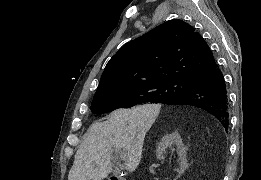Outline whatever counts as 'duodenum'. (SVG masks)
<instances>
[{
    "label": "duodenum",
    "instance_id": "410a0bca",
    "mask_svg": "<svg viewBox=\"0 0 261 180\" xmlns=\"http://www.w3.org/2000/svg\"><path fill=\"white\" fill-rule=\"evenodd\" d=\"M109 180H126L125 177H110Z\"/></svg>",
    "mask_w": 261,
    "mask_h": 180
}]
</instances>
